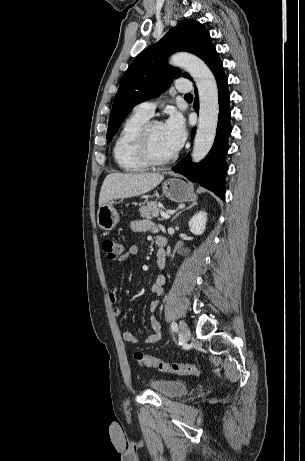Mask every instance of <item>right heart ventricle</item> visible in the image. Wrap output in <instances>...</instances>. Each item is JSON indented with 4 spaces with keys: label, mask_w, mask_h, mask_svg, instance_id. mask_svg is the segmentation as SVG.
I'll return each instance as SVG.
<instances>
[{
    "label": "right heart ventricle",
    "mask_w": 305,
    "mask_h": 461,
    "mask_svg": "<svg viewBox=\"0 0 305 461\" xmlns=\"http://www.w3.org/2000/svg\"><path fill=\"white\" fill-rule=\"evenodd\" d=\"M150 117L133 112L123 123L113 146V155L118 166L126 172H138L146 169L145 164L135 150V138L140 128Z\"/></svg>",
    "instance_id": "1"
}]
</instances>
